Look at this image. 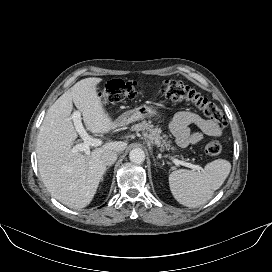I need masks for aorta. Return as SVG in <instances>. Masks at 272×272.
Returning a JSON list of instances; mask_svg holds the SVG:
<instances>
[{
    "label": "aorta",
    "mask_w": 272,
    "mask_h": 272,
    "mask_svg": "<svg viewBox=\"0 0 272 272\" xmlns=\"http://www.w3.org/2000/svg\"><path fill=\"white\" fill-rule=\"evenodd\" d=\"M131 162L141 164L145 160V153L141 148H134L129 153Z\"/></svg>",
    "instance_id": "obj_1"
}]
</instances>
